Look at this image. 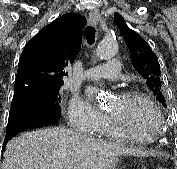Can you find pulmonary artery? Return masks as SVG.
<instances>
[{"mask_svg":"<svg viewBox=\"0 0 177 169\" xmlns=\"http://www.w3.org/2000/svg\"><path fill=\"white\" fill-rule=\"evenodd\" d=\"M121 64L117 59H110L106 65L95 66L87 69L83 77L87 80H114L118 77Z\"/></svg>","mask_w":177,"mask_h":169,"instance_id":"e3ab8cb5","label":"pulmonary artery"}]
</instances>
